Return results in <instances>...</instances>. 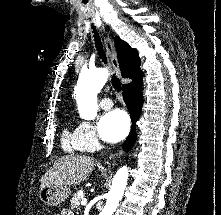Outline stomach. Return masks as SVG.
<instances>
[{"mask_svg":"<svg viewBox=\"0 0 221 215\" xmlns=\"http://www.w3.org/2000/svg\"><path fill=\"white\" fill-rule=\"evenodd\" d=\"M70 194V188L49 185L40 191V199L48 206H57L69 198Z\"/></svg>","mask_w":221,"mask_h":215,"instance_id":"0dacf381","label":"stomach"}]
</instances>
